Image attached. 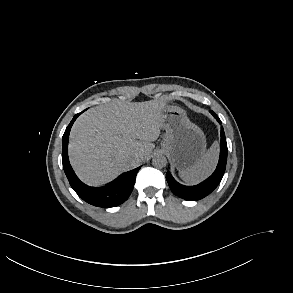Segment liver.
I'll use <instances>...</instances> for the list:
<instances>
[{
    "label": "liver",
    "mask_w": 293,
    "mask_h": 293,
    "mask_svg": "<svg viewBox=\"0 0 293 293\" xmlns=\"http://www.w3.org/2000/svg\"><path fill=\"white\" fill-rule=\"evenodd\" d=\"M162 99L126 103L115 101L90 108L75 121L69 157L79 178L101 185L145 161L160 135ZM137 155L138 160L133 161Z\"/></svg>",
    "instance_id": "obj_1"
}]
</instances>
